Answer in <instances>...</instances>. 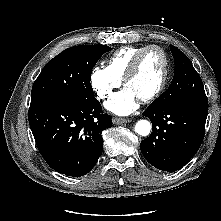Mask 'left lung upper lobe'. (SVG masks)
Returning a JSON list of instances; mask_svg holds the SVG:
<instances>
[{
    "label": "left lung upper lobe",
    "instance_id": "5c2ea615",
    "mask_svg": "<svg viewBox=\"0 0 221 221\" xmlns=\"http://www.w3.org/2000/svg\"><path fill=\"white\" fill-rule=\"evenodd\" d=\"M175 62V74L169 88L149 108L180 102H205L207 97L203 82L187 56L170 46Z\"/></svg>",
    "mask_w": 221,
    "mask_h": 221
}]
</instances>
